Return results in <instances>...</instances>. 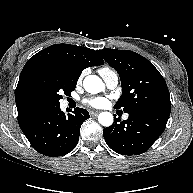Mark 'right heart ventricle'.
<instances>
[{
    "label": "right heart ventricle",
    "mask_w": 193,
    "mask_h": 193,
    "mask_svg": "<svg viewBox=\"0 0 193 193\" xmlns=\"http://www.w3.org/2000/svg\"><path fill=\"white\" fill-rule=\"evenodd\" d=\"M111 69L110 68H108V67H103V68H101L100 70H99V73H102V72H104V71H110Z\"/></svg>",
    "instance_id": "1"
}]
</instances>
